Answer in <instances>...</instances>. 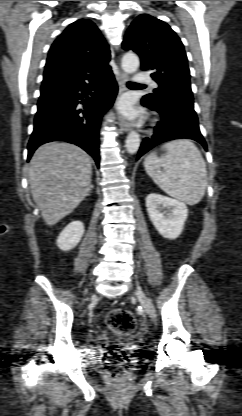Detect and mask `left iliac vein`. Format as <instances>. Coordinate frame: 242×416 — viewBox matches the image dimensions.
<instances>
[{"instance_id":"1","label":"left iliac vein","mask_w":242,"mask_h":416,"mask_svg":"<svg viewBox=\"0 0 242 416\" xmlns=\"http://www.w3.org/2000/svg\"><path fill=\"white\" fill-rule=\"evenodd\" d=\"M135 295L138 298L141 305L144 307L146 313L152 319H155L156 318V311H155V307H154L152 301L150 300V298L141 289H137L136 292H135Z\"/></svg>"}]
</instances>
